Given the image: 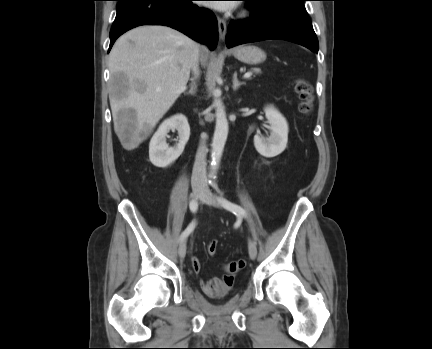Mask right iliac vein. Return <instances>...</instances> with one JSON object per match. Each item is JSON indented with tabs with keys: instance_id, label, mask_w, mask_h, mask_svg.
Masks as SVG:
<instances>
[{
	"instance_id": "1",
	"label": "right iliac vein",
	"mask_w": 432,
	"mask_h": 349,
	"mask_svg": "<svg viewBox=\"0 0 432 349\" xmlns=\"http://www.w3.org/2000/svg\"><path fill=\"white\" fill-rule=\"evenodd\" d=\"M204 190L201 187H195L193 188L192 196L194 198H200L203 194ZM178 253L180 258H184L186 255V240H182V242L179 245Z\"/></svg>"
}]
</instances>
